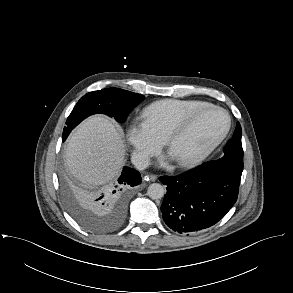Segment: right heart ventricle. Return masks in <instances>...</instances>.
Returning a JSON list of instances; mask_svg holds the SVG:
<instances>
[{"instance_id":"e07e8e85","label":"right heart ventricle","mask_w":293,"mask_h":293,"mask_svg":"<svg viewBox=\"0 0 293 293\" xmlns=\"http://www.w3.org/2000/svg\"><path fill=\"white\" fill-rule=\"evenodd\" d=\"M201 100L165 99L154 102L143 110V118L163 139L174 126L191 112L208 105Z\"/></svg>"}]
</instances>
